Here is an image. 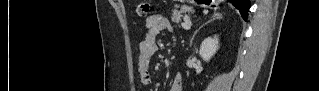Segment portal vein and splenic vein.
<instances>
[{
	"label": "portal vein and splenic vein",
	"mask_w": 319,
	"mask_h": 91,
	"mask_svg": "<svg viewBox=\"0 0 319 91\" xmlns=\"http://www.w3.org/2000/svg\"><path fill=\"white\" fill-rule=\"evenodd\" d=\"M182 27L184 29H186V30L190 29L191 28V22L187 21V22L182 23Z\"/></svg>",
	"instance_id": "18ae733b"
}]
</instances>
